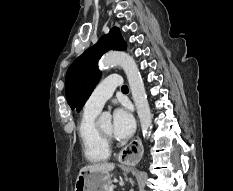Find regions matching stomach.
Instances as JSON below:
<instances>
[{
	"mask_svg": "<svg viewBox=\"0 0 233 191\" xmlns=\"http://www.w3.org/2000/svg\"><path fill=\"white\" fill-rule=\"evenodd\" d=\"M110 185L111 178L108 172L80 171L74 191H107Z\"/></svg>",
	"mask_w": 233,
	"mask_h": 191,
	"instance_id": "obj_1",
	"label": "stomach"
}]
</instances>
